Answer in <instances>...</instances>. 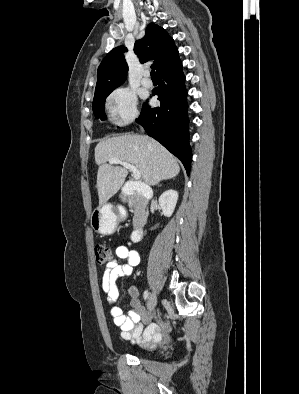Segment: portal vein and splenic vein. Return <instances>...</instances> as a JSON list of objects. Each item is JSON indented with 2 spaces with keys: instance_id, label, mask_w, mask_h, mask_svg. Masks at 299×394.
Returning <instances> with one entry per match:
<instances>
[{
  "instance_id": "1",
  "label": "portal vein and splenic vein",
  "mask_w": 299,
  "mask_h": 394,
  "mask_svg": "<svg viewBox=\"0 0 299 394\" xmlns=\"http://www.w3.org/2000/svg\"><path fill=\"white\" fill-rule=\"evenodd\" d=\"M109 163L110 164H121V165H123L124 167H126L127 169H129L132 172L133 178L135 180H139L141 178L140 171L134 165H132V164H130L128 162L122 161V160H120L118 158H111V159H109Z\"/></svg>"
}]
</instances>
